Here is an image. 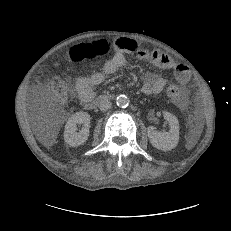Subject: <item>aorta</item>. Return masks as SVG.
<instances>
[{
  "label": "aorta",
  "mask_w": 231,
  "mask_h": 231,
  "mask_svg": "<svg viewBox=\"0 0 231 231\" xmlns=\"http://www.w3.org/2000/svg\"><path fill=\"white\" fill-rule=\"evenodd\" d=\"M129 98L126 95H119L116 98V104L118 107L125 108L129 105Z\"/></svg>",
  "instance_id": "762f6f07"
}]
</instances>
